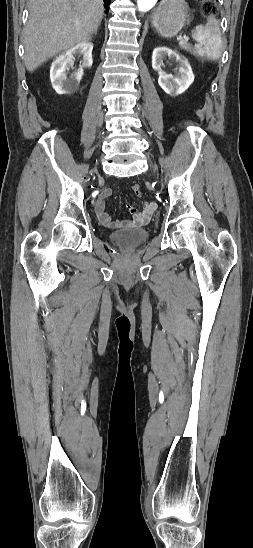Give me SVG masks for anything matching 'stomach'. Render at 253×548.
I'll list each match as a JSON object with an SVG mask.
<instances>
[{"mask_svg":"<svg viewBox=\"0 0 253 548\" xmlns=\"http://www.w3.org/2000/svg\"><path fill=\"white\" fill-rule=\"evenodd\" d=\"M189 20V7L185 0H163L151 23L161 36L173 37Z\"/></svg>","mask_w":253,"mask_h":548,"instance_id":"0dacf381","label":"stomach"}]
</instances>
